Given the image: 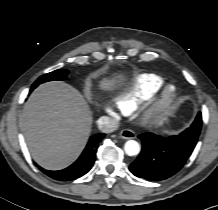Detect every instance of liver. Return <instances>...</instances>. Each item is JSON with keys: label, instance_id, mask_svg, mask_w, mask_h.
Instances as JSON below:
<instances>
[{"label": "liver", "instance_id": "obj_1", "mask_svg": "<svg viewBox=\"0 0 218 210\" xmlns=\"http://www.w3.org/2000/svg\"><path fill=\"white\" fill-rule=\"evenodd\" d=\"M117 81L103 78L102 90ZM23 131L33 159L43 168L59 170L73 163L83 151L92 125V113L84 97L62 81L40 85L23 111Z\"/></svg>", "mask_w": 218, "mask_h": 210}]
</instances>
